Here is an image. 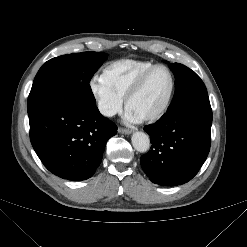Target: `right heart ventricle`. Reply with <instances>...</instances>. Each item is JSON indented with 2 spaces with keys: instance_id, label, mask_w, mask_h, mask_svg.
<instances>
[{
  "instance_id": "obj_1",
  "label": "right heart ventricle",
  "mask_w": 247,
  "mask_h": 247,
  "mask_svg": "<svg viewBox=\"0 0 247 247\" xmlns=\"http://www.w3.org/2000/svg\"><path fill=\"white\" fill-rule=\"evenodd\" d=\"M153 65L150 61L121 59L107 65L104 72L115 89L125 96L139 76Z\"/></svg>"
}]
</instances>
